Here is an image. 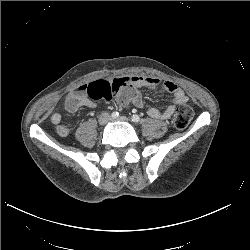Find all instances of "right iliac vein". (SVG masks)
<instances>
[{
    "mask_svg": "<svg viewBox=\"0 0 250 250\" xmlns=\"http://www.w3.org/2000/svg\"><path fill=\"white\" fill-rule=\"evenodd\" d=\"M109 119V115L107 113H102L99 117H98V123L100 126H104L107 121Z\"/></svg>",
    "mask_w": 250,
    "mask_h": 250,
    "instance_id": "63e3f726",
    "label": "right iliac vein"
}]
</instances>
